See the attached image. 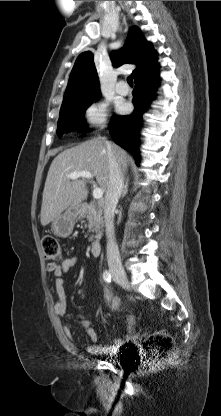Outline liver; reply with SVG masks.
Masks as SVG:
<instances>
[{
  "instance_id": "liver-1",
  "label": "liver",
  "mask_w": 221,
  "mask_h": 416,
  "mask_svg": "<svg viewBox=\"0 0 221 416\" xmlns=\"http://www.w3.org/2000/svg\"><path fill=\"white\" fill-rule=\"evenodd\" d=\"M111 150L124 175L129 160L127 152L116 144H111ZM77 171L91 172L102 191L107 192L110 169L107 144L103 138H93L65 149L54 158L43 190L40 214L42 226L48 225L64 210L78 207L87 197V180H72L68 177Z\"/></svg>"
}]
</instances>
